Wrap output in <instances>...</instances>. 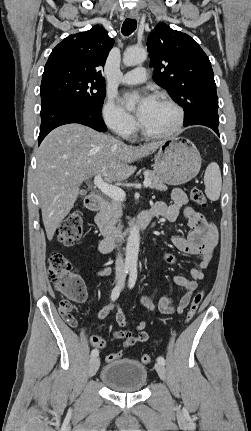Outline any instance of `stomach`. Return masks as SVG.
I'll list each match as a JSON object with an SVG mask.
<instances>
[{
    "instance_id": "0dacf381",
    "label": "stomach",
    "mask_w": 251,
    "mask_h": 431,
    "mask_svg": "<svg viewBox=\"0 0 251 431\" xmlns=\"http://www.w3.org/2000/svg\"><path fill=\"white\" fill-rule=\"evenodd\" d=\"M201 168V157L188 139L174 137L162 142L155 156L154 171L166 184L181 185L193 179Z\"/></svg>"
}]
</instances>
